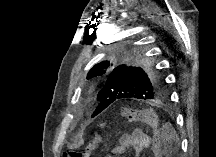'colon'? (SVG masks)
<instances>
[{
	"instance_id": "5ec220e1",
	"label": "colon",
	"mask_w": 216,
	"mask_h": 157,
	"mask_svg": "<svg viewBox=\"0 0 216 157\" xmlns=\"http://www.w3.org/2000/svg\"><path fill=\"white\" fill-rule=\"evenodd\" d=\"M120 115L124 120L144 123L154 132L158 130L159 120L155 112L151 109H122L120 111ZM100 141V132H95L84 149L66 150L63 153V157H89L90 154L97 148Z\"/></svg>"
}]
</instances>
